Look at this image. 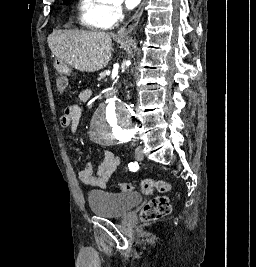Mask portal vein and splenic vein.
Listing matches in <instances>:
<instances>
[{"instance_id":"portal-vein-and-splenic-vein-1","label":"portal vein and splenic vein","mask_w":256,"mask_h":267,"mask_svg":"<svg viewBox=\"0 0 256 267\" xmlns=\"http://www.w3.org/2000/svg\"><path fill=\"white\" fill-rule=\"evenodd\" d=\"M109 73H110V70L109 69H106L105 70V76H108Z\"/></svg>"}]
</instances>
